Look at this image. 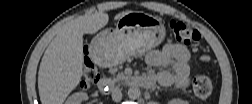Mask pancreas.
Instances as JSON below:
<instances>
[{"mask_svg":"<svg viewBox=\"0 0 252 104\" xmlns=\"http://www.w3.org/2000/svg\"><path fill=\"white\" fill-rule=\"evenodd\" d=\"M128 76H126L125 74H119L116 78H114L115 81H119V80H125L127 79Z\"/></svg>","mask_w":252,"mask_h":104,"instance_id":"pancreas-1","label":"pancreas"}]
</instances>
